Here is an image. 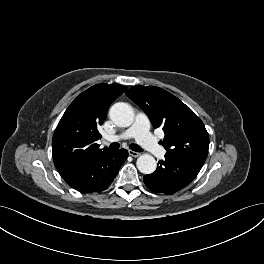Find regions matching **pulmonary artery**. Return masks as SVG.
Listing matches in <instances>:
<instances>
[{
    "label": "pulmonary artery",
    "mask_w": 264,
    "mask_h": 264,
    "mask_svg": "<svg viewBox=\"0 0 264 264\" xmlns=\"http://www.w3.org/2000/svg\"><path fill=\"white\" fill-rule=\"evenodd\" d=\"M149 120L143 113L137 114L130 128L120 134L108 136L110 142L134 138L144 149L158 158L165 155V149L160 146L149 132Z\"/></svg>",
    "instance_id": "obj_1"
}]
</instances>
